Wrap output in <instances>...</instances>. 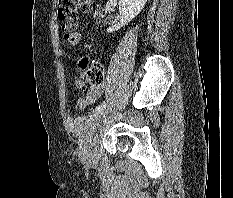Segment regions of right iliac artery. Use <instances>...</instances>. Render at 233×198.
<instances>
[{
  "instance_id": "right-iliac-artery-1",
  "label": "right iliac artery",
  "mask_w": 233,
  "mask_h": 198,
  "mask_svg": "<svg viewBox=\"0 0 233 198\" xmlns=\"http://www.w3.org/2000/svg\"><path fill=\"white\" fill-rule=\"evenodd\" d=\"M107 104L105 102L101 103L96 109V112H101L104 108H106Z\"/></svg>"
}]
</instances>
